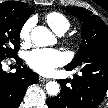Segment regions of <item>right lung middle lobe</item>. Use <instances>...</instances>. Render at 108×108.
<instances>
[{"mask_svg": "<svg viewBox=\"0 0 108 108\" xmlns=\"http://www.w3.org/2000/svg\"><path fill=\"white\" fill-rule=\"evenodd\" d=\"M21 2L8 1L0 4V59L15 58L19 50L22 26L31 13Z\"/></svg>", "mask_w": 108, "mask_h": 108, "instance_id": "right-lung-middle-lobe-1", "label": "right lung middle lobe"}]
</instances>
